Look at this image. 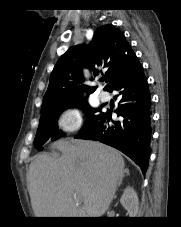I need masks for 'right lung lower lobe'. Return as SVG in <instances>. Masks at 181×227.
<instances>
[{
  "instance_id": "1",
  "label": "right lung lower lobe",
  "mask_w": 181,
  "mask_h": 227,
  "mask_svg": "<svg viewBox=\"0 0 181 227\" xmlns=\"http://www.w3.org/2000/svg\"><path fill=\"white\" fill-rule=\"evenodd\" d=\"M118 91L119 106L115 111L120 121H110L111 113H102L96 123L83 129L75 138L98 140L115 147L135 161L145 173L151 142V97L144 70L136 55L125 64L120 76L107 91Z\"/></svg>"
}]
</instances>
